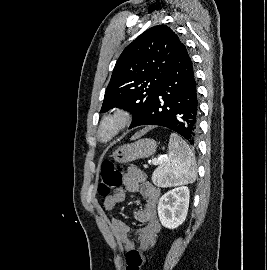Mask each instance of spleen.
<instances>
[{
	"mask_svg": "<svg viewBox=\"0 0 267 270\" xmlns=\"http://www.w3.org/2000/svg\"><path fill=\"white\" fill-rule=\"evenodd\" d=\"M195 157L188 144L176 133L169 139L168 155L154 172L153 183L160 187H171L193 183L197 172Z\"/></svg>",
	"mask_w": 267,
	"mask_h": 270,
	"instance_id": "obj_1",
	"label": "spleen"
}]
</instances>
